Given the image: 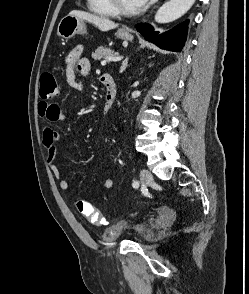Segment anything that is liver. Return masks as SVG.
I'll use <instances>...</instances> for the list:
<instances>
[{
    "instance_id": "liver-1",
    "label": "liver",
    "mask_w": 249,
    "mask_h": 294,
    "mask_svg": "<svg viewBox=\"0 0 249 294\" xmlns=\"http://www.w3.org/2000/svg\"><path fill=\"white\" fill-rule=\"evenodd\" d=\"M69 14L74 15L82 20H86L89 23H92L100 31H103V32L109 31L111 29H115L116 27H118V24L114 23L113 21L109 20L108 18L93 15L88 12L73 10Z\"/></svg>"
}]
</instances>
